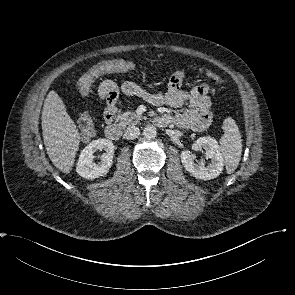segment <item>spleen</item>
<instances>
[{
  "label": "spleen",
  "instance_id": "obj_1",
  "mask_svg": "<svg viewBox=\"0 0 295 295\" xmlns=\"http://www.w3.org/2000/svg\"><path fill=\"white\" fill-rule=\"evenodd\" d=\"M224 135L220 139V152L223 156L228 174L233 173L240 162L242 139L235 121L228 117L223 121Z\"/></svg>",
  "mask_w": 295,
  "mask_h": 295
}]
</instances>
